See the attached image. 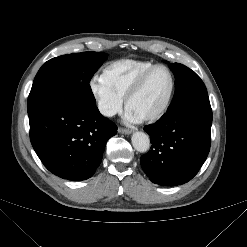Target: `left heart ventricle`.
I'll list each match as a JSON object with an SVG mask.
<instances>
[{"label":"left heart ventricle","mask_w":247,"mask_h":247,"mask_svg":"<svg viewBox=\"0 0 247 247\" xmlns=\"http://www.w3.org/2000/svg\"><path fill=\"white\" fill-rule=\"evenodd\" d=\"M170 90V77L163 68L156 69L148 78L141 92L129 103V108L146 116L164 103Z\"/></svg>","instance_id":"1"}]
</instances>
